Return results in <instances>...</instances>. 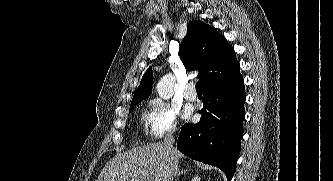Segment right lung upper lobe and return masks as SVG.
<instances>
[{
  "mask_svg": "<svg viewBox=\"0 0 333 181\" xmlns=\"http://www.w3.org/2000/svg\"><path fill=\"white\" fill-rule=\"evenodd\" d=\"M180 57L188 70H199L202 90L216 85L239 73V63L233 48L216 29L201 21H191L180 45ZM153 72L148 68L135 91L131 106L148 97L152 92Z\"/></svg>",
  "mask_w": 333,
  "mask_h": 181,
  "instance_id": "obj_1",
  "label": "right lung upper lobe"
}]
</instances>
